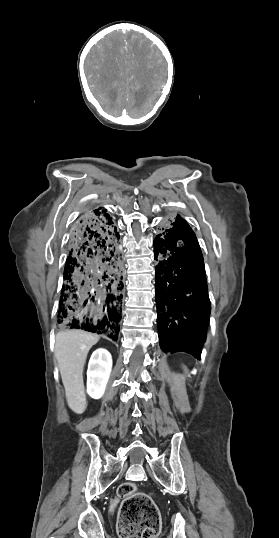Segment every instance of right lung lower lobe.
<instances>
[{
  "label": "right lung lower lobe",
  "mask_w": 279,
  "mask_h": 538,
  "mask_svg": "<svg viewBox=\"0 0 279 538\" xmlns=\"http://www.w3.org/2000/svg\"><path fill=\"white\" fill-rule=\"evenodd\" d=\"M120 235L105 209L87 208L69 239L57 324L118 334L122 304Z\"/></svg>",
  "instance_id": "obj_1"
}]
</instances>
